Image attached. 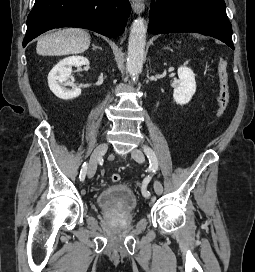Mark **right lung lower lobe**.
Segmentation results:
<instances>
[{"label":"right lung lower lobe","instance_id":"98d812e1","mask_svg":"<svg viewBox=\"0 0 255 272\" xmlns=\"http://www.w3.org/2000/svg\"><path fill=\"white\" fill-rule=\"evenodd\" d=\"M129 14L128 0H35L23 47L40 34L62 27L85 28L114 38L124 31Z\"/></svg>","mask_w":255,"mask_h":272}]
</instances>
